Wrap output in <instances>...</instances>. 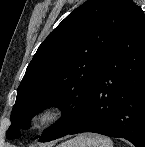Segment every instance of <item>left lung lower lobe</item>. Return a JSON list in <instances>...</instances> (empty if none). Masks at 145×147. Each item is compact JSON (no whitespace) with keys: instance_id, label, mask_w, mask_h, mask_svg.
Here are the masks:
<instances>
[{"instance_id":"1","label":"left lung lower lobe","mask_w":145,"mask_h":147,"mask_svg":"<svg viewBox=\"0 0 145 147\" xmlns=\"http://www.w3.org/2000/svg\"><path fill=\"white\" fill-rule=\"evenodd\" d=\"M82 132L145 147V16L132 1L82 117L73 129L48 141Z\"/></svg>"}]
</instances>
